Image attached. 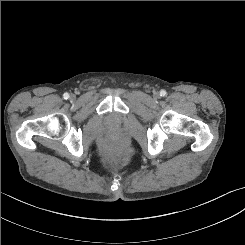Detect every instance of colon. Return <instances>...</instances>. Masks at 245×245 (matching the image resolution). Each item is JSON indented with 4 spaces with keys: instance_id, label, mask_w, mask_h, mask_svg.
Returning a JSON list of instances; mask_svg holds the SVG:
<instances>
[{
    "instance_id": "colon-1",
    "label": "colon",
    "mask_w": 245,
    "mask_h": 245,
    "mask_svg": "<svg viewBox=\"0 0 245 245\" xmlns=\"http://www.w3.org/2000/svg\"><path fill=\"white\" fill-rule=\"evenodd\" d=\"M114 147H115L116 150H119V149H118V146L115 145Z\"/></svg>"
}]
</instances>
